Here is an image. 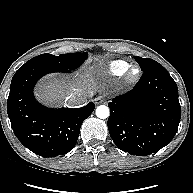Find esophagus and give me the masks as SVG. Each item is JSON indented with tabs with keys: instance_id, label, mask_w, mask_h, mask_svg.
<instances>
[{
	"instance_id": "obj_1",
	"label": "esophagus",
	"mask_w": 193,
	"mask_h": 193,
	"mask_svg": "<svg viewBox=\"0 0 193 193\" xmlns=\"http://www.w3.org/2000/svg\"><path fill=\"white\" fill-rule=\"evenodd\" d=\"M103 102H104V98L101 97V96H98V97H96V98L94 99V103H95L96 105H99V104H101V103H103Z\"/></svg>"
}]
</instances>
